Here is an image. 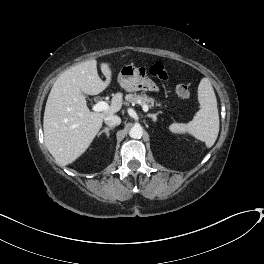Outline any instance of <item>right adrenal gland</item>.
<instances>
[{
    "mask_svg": "<svg viewBox=\"0 0 264 264\" xmlns=\"http://www.w3.org/2000/svg\"><path fill=\"white\" fill-rule=\"evenodd\" d=\"M114 129V127H106L105 129L101 130L99 133H98V136H100L102 133H105L106 136L109 138V131Z\"/></svg>",
    "mask_w": 264,
    "mask_h": 264,
    "instance_id": "2a0ac1e0",
    "label": "right adrenal gland"
}]
</instances>
